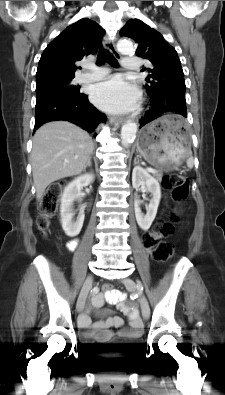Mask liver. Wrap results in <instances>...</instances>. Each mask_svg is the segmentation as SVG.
Returning a JSON list of instances; mask_svg holds the SVG:
<instances>
[{
  "label": "liver",
  "mask_w": 225,
  "mask_h": 395,
  "mask_svg": "<svg viewBox=\"0 0 225 395\" xmlns=\"http://www.w3.org/2000/svg\"><path fill=\"white\" fill-rule=\"evenodd\" d=\"M94 149L92 137L68 121H53L41 126L33 137L31 165L36 198L59 179L85 170Z\"/></svg>",
  "instance_id": "obj_1"
}]
</instances>
